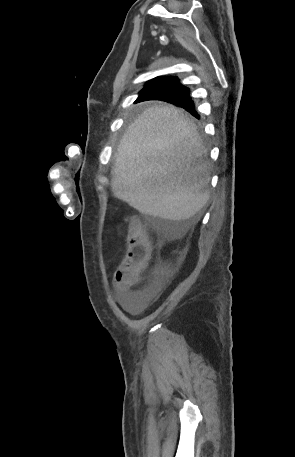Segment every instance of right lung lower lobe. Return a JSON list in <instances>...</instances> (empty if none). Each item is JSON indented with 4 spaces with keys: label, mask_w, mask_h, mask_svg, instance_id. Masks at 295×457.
Returning a JSON list of instances; mask_svg holds the SVG:
<instances>
[{
    "label": "right lung lower lobe",
    "mask_w": 295,
    "mask_h": 457,
    "mask_svg": "<svg viewBox=\"0 0 295 457\" xmlns=\"http://www.w3.org/2000/svg\"><path fill=\"white\" fill-rule=\"evenodd\" d=\"M161 89H172V90L178 91L180 93L178 96L171 97V98H168L165 100L185 108L195 117L199 118V116L197 115V113L194 109V104L189 97V89L184 87L183 85H181L178 82L177 78L168 83L150 86V87H144V89L141 90L140 96L137 101L157 99V97H158L157 91H159Z\"/></svg>",
    "instance_id": "right-lung-lower-lobe-1"
}]
</instances>
